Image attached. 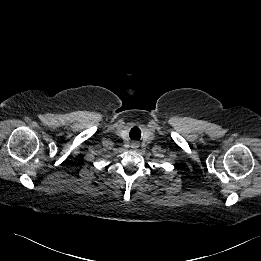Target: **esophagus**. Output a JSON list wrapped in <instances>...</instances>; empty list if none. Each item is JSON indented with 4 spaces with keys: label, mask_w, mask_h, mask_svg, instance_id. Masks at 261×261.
I'll list each match as a JSON object with an SVG mask.
<instances>
[{
    "label": "esophagus",
    "mask_w": 261,
    "mask_h": 261,
    "mask_svg": "<svg viewBox=\"0 0 261 261\" xmlns=\"http://www.w3.org/2000/svg\"><path fill=\"white\" fill-rule=\"evenodd\" d=\"M138 146H139V144H138L137 142H133V143L131 144V147H132L133 149H136Z\"/></svg>",
    "instance_id": "obj_1"
}]
</instances>
